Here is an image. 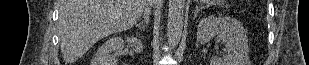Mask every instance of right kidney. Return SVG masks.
<instances>
[{
	"instance_id": "obj_1",
	"label": "right kidney",
	"mask_w": 309,
	"mask_h": 65,
	"mask_svg": "<svg viewBox=\"0 0 309 65\" xmlns=\"http://www.w3.org/2000/svg\"><path fill=\"white\" fill-rule=\"evenodd\" d=\"M126 42L136 53H141L143 44L136 37H127ZM124 40L121 37H112L108 39L97 51L93 59V65H117V56L124 48Z\"/></svg>"
}]
</instances>
